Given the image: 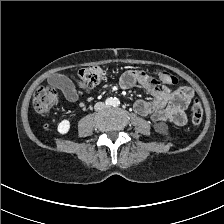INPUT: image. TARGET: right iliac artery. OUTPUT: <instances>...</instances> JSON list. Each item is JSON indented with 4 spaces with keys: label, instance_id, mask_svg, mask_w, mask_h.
Wrapping results in <instances>:
<instances>
[{
    "label": "right iliac artery",
    "instance_id": "obj_1",
    "mask_svg": "<svg viewBox=\"0 0 224 224\" xmlns=\"http://www.w3.org/2000/svg\"><path fill=\"white\" fill-rule=\"evenodd\" d=\"M105 103H106L107 106H111L113 104L112 98L106 99Z\"/></svg>",
    "mask_w": 224,
    "mask_h": 224
}]
</instances>
